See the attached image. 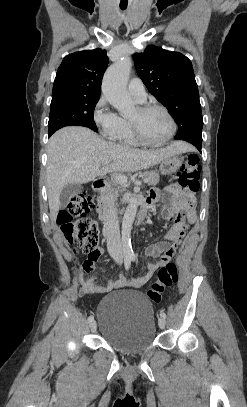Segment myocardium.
<instances>
[{
    "mask_svg": "<svg viewBox=\"0 0 247 407\" xmlns=\"http://www.w3.org/2000/svg\"><path fill=\"white\" fill-rule=\"evenodd\" d=\"M137 108L140 112H147L149 110H154V109L161 110L170 121L171 131H170L169 135L167 136V138L164 139L163 141L157 142V143L150 142V141H147L141 134V131L139 129L137 122L129 119L128 121H129L130 129H131L132 135L135 138V140L139 144H141L143 146H148V147H161V146H164L167 143H169L177 131V123H176L173 115L171 114V112L165 106L160 105V104H155V103L142 104V105L138 106Z\"/></svg>",
    "mask_w": 247,
    "mask_h": 407,
    "instance_id": "1",
    "label": "myocardium"
}]
</instances>
